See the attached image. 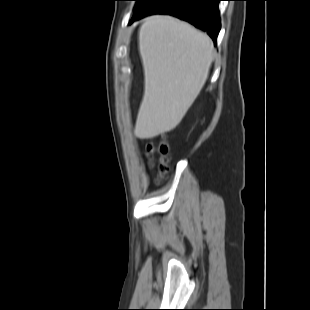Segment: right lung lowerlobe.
<instances>
[{
    "label": "right lung lower lobe",
    "mask_w": 310,
    "mask_h": 310,
    "mask_svg": "<svg viewBox=\"0 0 310 310\" xmlns=\"http://www.w3.org/2000/svg\"><path fill=\"white\" fill-rule=\"evenodd\" d=\"M220 0H159L149 8L134 14L130 23L151 14H169L206 31L216 43L220 31Z\"/></svg>",
    "instance_id": "obj_1"
}]
</instances>
